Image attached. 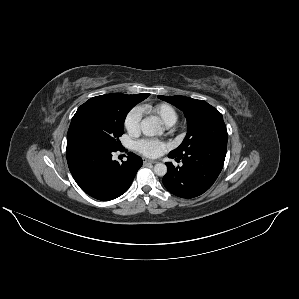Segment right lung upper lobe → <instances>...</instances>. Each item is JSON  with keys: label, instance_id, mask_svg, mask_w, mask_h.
<instances>
[{"label": "right lung upper lobe", "instance_id": "obj_1", "mask_svg": "<svg viewBox=\"0 0 299 299\" xmlns=\"http://www.w3.org/2000/svg\"><path fill=\"white\" fill-rule=\"evenodd\" d=\"M118 95H126V94H121V93H112V94H105V95H101V96H96L93 97L91 99H89L86 103H99V102H105L108 101ZM131 98L138 100V101H142L145 98H147L149 96V94L143 93V94H136V95H129Z\"/></svg>", "mask_w": 299, "mask_h": 299}]
</instances>
